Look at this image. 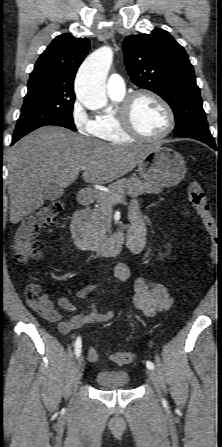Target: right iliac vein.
Instances as JSON below:
<instances>
[{
  "label": "right iliac vein",
  "instance_id": "1",
  "mask_svg": "<svg viewBox=\"0 0 222 447\" xmlns=\"http://www.w3.org/2000/svg\"><path fill=\"white\" fill-rule=\"evenodd\" d=\"M84 368H85V360H84V357L81 355L78 358L75 372H74V378H73L74 387H76L78 385V383L80 382L83 372H84Z\"/></svg>",
  "mask_w": 222,
  "mask_h": 447
}]
</instances>
